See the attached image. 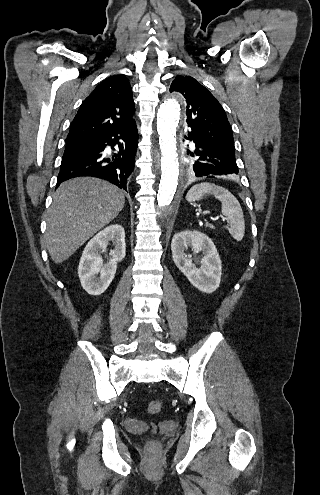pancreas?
Masks as SVG:
<instances>
[{
	"label": "pancreas",
	"mask_w": 320,
	"mask_h": 495,
	"mask_svg": "<svg viewBox=\"0 0 320 495\" xmlns=\"http://www.w3.org/2000/svg\"><path fill=\"white\" fill-rule=\"evenodd\" d=\"M206 227H209L211 229H214V226L212 224H208V225H206Z\"/></svg>",
	"instance_id": "cf45deb5"
}]
</instances>
